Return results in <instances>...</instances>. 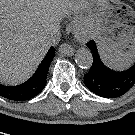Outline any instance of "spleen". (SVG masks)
<instances>
[{
    "label": "spleen",
    "instance_id": "3e777b00",
    "mask_svg": "<svg viewBox=\"0 0 135 135\" xmlns=\"http://www.w3.org/2000/svg\"><path fill=\"white\" fill-rule=\"evenodd\" d=\"M135 54L131 52L119 51L112 58L105 60L107 64L116 69H124L126 66L130 65Z\"/></svg>",
    "mask_w": 135,
    "mask_h": 135
}]
</instances>
